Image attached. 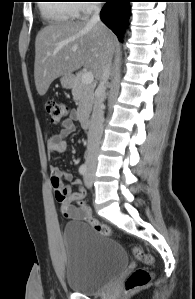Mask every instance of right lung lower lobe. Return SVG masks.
<instances>
[{"label":"right lung lower lobe","instance_id":"98d812e1","mask_svg":"<svg viewBox=\"0 0 195 299\" xmlns=\"http://www.w3.org/2000/svg\"><path fill=\"white\" fill-rule=\"evenodd\" d=\"M101 10L102 21L117 35L121 41L130 15L131 0H105Z\"/></svg>","mask_w":195,"mask_h":299}]
</instances>
